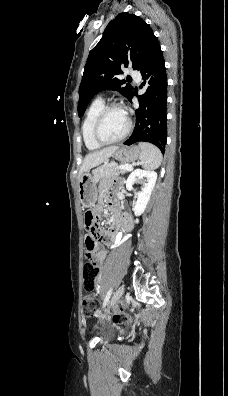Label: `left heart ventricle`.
Returning a JSON list of instances; mask_svg holds the SVG:
<instances>
[{
  "label": "left heart ventricle",
  "instance_id": "b2bd125f",
  "mask_svg": "<svg viewBox=\"0 0 228 396\" xmlns=\"http://www.w3.org/2000/svg\"><path fill=\"white\" fill-rule=\"evenodd\" d=\"M127 127L126 114L120 109L110 110L104 117L101 125V135L106 140L121 136Z\"/></svg>",
  "mask_w": 228,
  "mask_h": 396
}]
</instances>
